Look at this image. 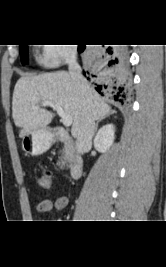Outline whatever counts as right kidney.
I'll list each match as a JSON object with an SVG mask.
<instances>
[{
    "instance_id": "1",
    "label": "right kidney",
    "mask_w": 166,
    "mask_h": 267,
    "mask_svg": "<svg viewBox=\"0 0 166 267\" xmlns=\"http://www.w3.org/2000/svg\"><path fill=\"white\" fill-rule=\"evenodd\" d=\"M114 126L107 124L103 126L97 133L94 139V147L99 152H106L112 146L114 141Z\"/></svg>"
}]
</instances>
